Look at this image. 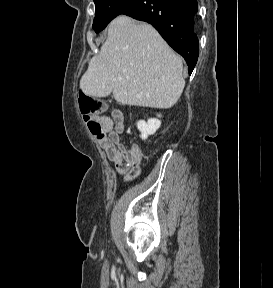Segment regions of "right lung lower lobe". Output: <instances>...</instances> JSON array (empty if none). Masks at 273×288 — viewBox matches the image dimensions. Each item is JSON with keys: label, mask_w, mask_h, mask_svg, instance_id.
<instances>
[{"label": "right lung lower lobe", "mask_w": 273, "mask_h": 288, "mask_svg": "<svg viewBox=\"0 0 273 288\" xmlns=\"http://www.w3.org/2000/svg\"><path fill=\"white\" fill-rule=\"evenodd\" d=\"M197 11V0H137L122 14L150 23L184 57L191 74L199 54Z\"/></svg>", "instance_id": "obj_1"}]
</instances>
